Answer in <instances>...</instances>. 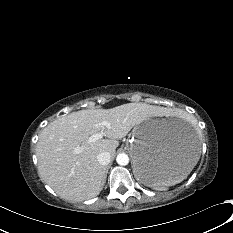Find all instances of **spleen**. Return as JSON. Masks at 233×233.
Wrapping results in <instances>:
<instances>
[{
    "mask_svg": "<svg viewBox=\"0 0 233 233\" xmlns=\"http://www.w3.org/2000/svg\"><path fill=\"white\" fill-rule=\"evenodd\" d=\"M166 186H168L167 184H165V185H158V186H153V187H160V188H164V187H166Z\"/></svg>",
    "mask_w": 233,
    "mask_h": 233,
    "instance_id": "obj_1",
    "label": "spleen"
}]
</instances>
